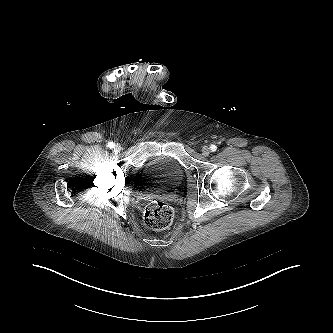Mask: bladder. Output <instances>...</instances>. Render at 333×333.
I'll return each mask as SVG.
<instances>
[{"mask_svg":"<svg viewBox=\"0 0 333 333\" xmlns=\"http://www.w3.org/2000/svg\"><path fill=\"white\" fill-rule=\"evenodd\" d=\"M138 172L140 184L154 189L174 188L184 177V167L179 158L169 152L149 157Z\"/></svg>","mask_w":333,"mask_h":333,"instance_id":"1","label":"bladder"}]
</instances>
